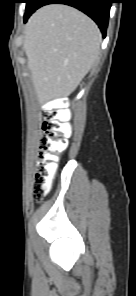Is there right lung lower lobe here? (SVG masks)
Segmentation results:
<instances>
[{
	"label": "right lung lower lobe",
	"instance_id": "obj_1",
	"mask_svg": "<svg viewBox=\"0 0 136 296\" xmlns=\"http://www.w3.org/2000/svg\"><path fill=\"white\" fill-rule=\"evenodd\" d=\"M51 3L67 4L81 10L96 22L105 37L112 0H35L30 12L24 15V21L26 22L35 10Z\"/></svg>",
	"mask_w": 136,
	"mask_h": 296
}]
</instances>
